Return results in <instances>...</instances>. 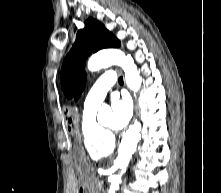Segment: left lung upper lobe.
<instances>
[{"label":"left lung upper lobe","mask_w":221,"mask_h":193,"mask_svg":"<svg viewBox=\"0 0 221 193\" xmlns=\"http://www.w3.org/2000/svg\"><path fill=\"white\" fill-rule=\"evenodd\" d=\"M120 41L99 21L89 18L85 28L78 31L76 41L66 56L61 70V85L68 98L77 100L86 83L84 63L92 52L104 48H117Z\"/></svg>","instance_id":"left-lung-upper-lobe-1"}]
</instances>
